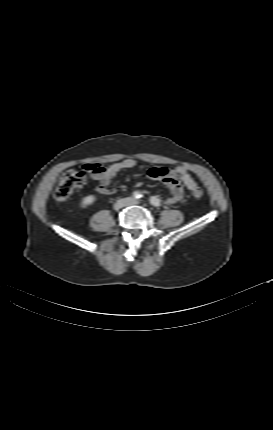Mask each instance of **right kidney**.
I'll return each instance as SVG.
<instances>
[{"label": "right kidney", "mask_w": 273, "mask_h": 430, "mask_svg": "<svg viewBox=\"0 0 273 430\" xmlns=\"http://www.w3.org/2000/svg\"><path fill=\"white\" fill-rule=\"evenodd\" d=\"M95 201H96V196L93 194H89L81 198L79 206L81 208H87L88 206L92 205Z\"/></svg>", "instance_id": "right-kidney-1"}]
</instances>
